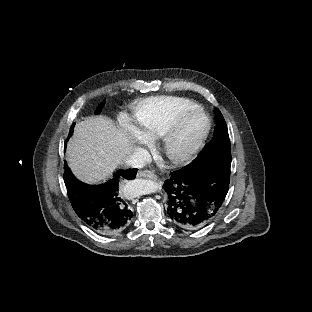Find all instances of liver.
<instances>
[{
  "instance_id": "obj_1",
  "label": "liver",
  "mask_w": 312,
  "mask_h": 312,
  "mask_svg": "<svg viewBox=\"0 0 312 312\" xmlns=\"http://www.w3.org/2000/svg\"><path fill=\"white\" fill-rule=\"evenodd\" d=\"M133 141L114 123L105 118H88L75 127L67 160L78 178L99 183L112 178L113 171L132 154Z\"/></svg>"
}]
</instances>
